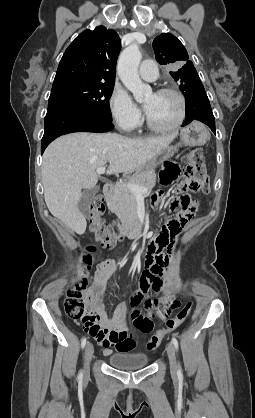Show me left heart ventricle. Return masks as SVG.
<instances>
[{
    "mask_svg": "<svg viewBox=\"0 0 255 418\" xmlns=\"http://www.w3.org/2000/svg\"><path fill=\"white\" fill-rule=\"evenodd\" d=\"M150 120L158 126H169L176 122L180 114V102L173 94H149L144 101Z\"/></svg>",
    "mask_w": 255,
    "mask_h": 418,
    "instance_id": "b2bd125f",
    "label": "left heart ventricle"
}]
</instances>
